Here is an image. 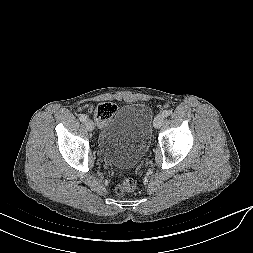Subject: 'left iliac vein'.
Returning a JSON list of instances; mask_svg holds the SVG:
<instances>
[{"label":"left iliac vein","instance_id":"4c4485c4","mask_svg":"<svg viewBox=\"0 0 253 253\" xmlns=\"http://www.w3.org/2000/svg\"><path fill=\"white\" fill-rule=\"evenodd\" d=\"M163 121H164L163 115L162 114L157 115L154 119V127L156 129H159L162 126Z\"/></svg>","mask_w":253,"mask_h":253}]
</instances>
